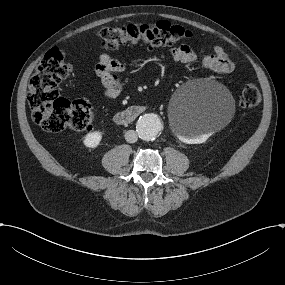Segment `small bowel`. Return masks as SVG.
<instances>
[{
	"mask_svg": "<svg viewBox=\"0 0 285 285\" xmlns=\"http://www.w3.org/2000/svg\"><path fill=\"white\" fill-rule=\"evenodd\" d=\"M169 56L181 63H193L198 60V56L188 45L171 48ZM201 64L204 68L219 74H230L234 70L233 62L220 45L214 46L213 53L204 56ZM95 70L104 86L106 97H118L122 91L119 74L125 70L124 64L110 55L103 54L99 57Z\"/></svg>",
	"mask_w": 285,
	"mask_h": 285,
	"instance_id": "small-bowel-1",
	"label": "small bowel"
}]
</instances>
